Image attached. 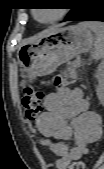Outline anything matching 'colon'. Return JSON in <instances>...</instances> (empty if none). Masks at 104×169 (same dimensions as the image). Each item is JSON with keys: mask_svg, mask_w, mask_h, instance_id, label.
Wrapping results in <instances>:
<instances>
[{"mask_svg": "<svg viewBox=\"0 0 104 169\" xmlns=\"http://www.w3.org/2000/svg\"><path fill=\"white\" fill-rule=\"evenodd\" d=\"M53 83L56 87H63L66 81L61 76H55ZM22 106L28 120H35L42 112L44 106V93L41 90L28 88L22 97ZM66 169H85V163L81 160L72 162Z\"/></svg>", "mask_w": 104, "mask_h": 169, "instance_id": "1", "label": "colon"}]
</instances>
